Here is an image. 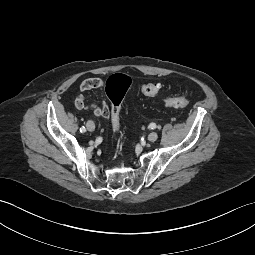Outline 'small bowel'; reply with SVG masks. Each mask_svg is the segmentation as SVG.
I'll return each mask as SVG.
<instances>
[{
	"label": "small bowel",
	"mask_w": 255,
	"mask_h": 255,
	"mask_svg": "<svg viewBox=\"0 0 255 255\" xmlns=\"http://www.w3.org/2000/svg\"><path fill=\"white\" fill-rule=\"evenodd\" d=\"M104 88V82L99 78H89L84 80L80 85V91L86 93L92 90H102ZM75 106L78 109H83L85 107V97L83 95H78L75 98ZM91 110L94 115L98 117L109 118L111 116V107L108 106L105 100L101 102L100 105L92 103L90 105Z\"/></svg>",
	"instance_id": "obj_1"
}]
</instances>
